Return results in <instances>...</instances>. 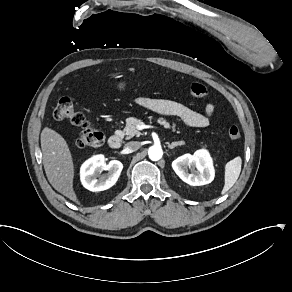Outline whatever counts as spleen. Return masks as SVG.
Returning a JSON list of instances; mask_svg holds the SVG:
<instances>
[{
  "instance_id": "spleen-1",
  "label": "spleen",
  "mask_w": 292,
  "mask_h": 292,
  "mask_svg": "<svg viewBox=\"0 0 292 292\" xmlns=\"http://www.w3.org/2000/svg\"><path fill=\"white\" fill-rule=\"evenodd\" d=\"M242 160L236 157L225 166V185L222 194H225L237 181L241 172Z\"/></svg>"
}]
</instances>
